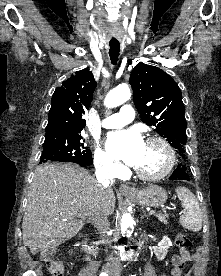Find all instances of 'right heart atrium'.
Instances as JSON below:
<instances>
[{"label":"right heart atrium","mask_w":221,"mask_h":276,"mask_svg":"<svg viewBox=\"0 0 221 276\" xmlns=\"http://www.w3.org/2000/svg\"><path fill=\"white\" fill-rule=\"evenodd\" d=\"M94 165L101 174L108 177H117L123 171L120 163L101 148H97L94 152Z\"/></svg>","instance_id":"d8ad5b80"}]
</instances>
